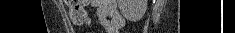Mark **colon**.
<instances>
[{
    "label": "colon",
    "instance_id": "obj_1",
    "mask_svg": "<svg viewBox=\"0 0 235 33\" xmlns=\"http://www.w3.org/2000/svg\"><path fill=\"white\" fill-rule=\"evenodd\" d=\"M66 5L69 7V15L71 21L75 25H82L87 20V12L85 6L89 0H65Z\"/></svg>",
    "mask_w": 235,
    "mask_h": 33
}]
</instances>
